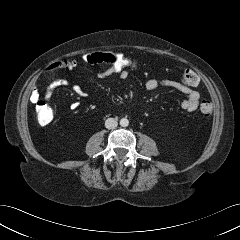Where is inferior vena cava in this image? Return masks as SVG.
Here are the masks:
<instances>
[{
	"label": "inferior vena cava",
	"mask_w": 240,
	"mask_h": 240,
	"mask_svg": "<svg viewBox=\"0 0 240 240\" xmlns=\"http://www.w3.org/2000/svg\"><path fill=\"white\" fill-rule=\"evenodd\" d=\"M117 125H118V122L114 118H108L105 121V127L107 129H114L117 127Z\"/></svg>",
	"instance_id": "inferior-vena-cava-1"
}]
</instances>
